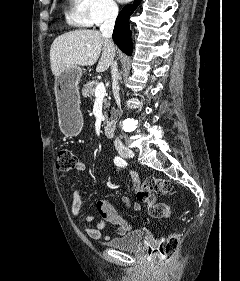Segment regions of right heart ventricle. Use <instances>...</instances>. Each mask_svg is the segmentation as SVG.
I'll use <instances>...</instances> for the list:
<instances>
[{
    "mask_svg": "<svg viewBox=\"0 0 240 281\" xmlns=\"http://www.w3.org/2000/svg\"><path fill=\"white\" fill-rule=\"evenodd\" d=\"M88 8V0H68L64 13L67 24L77 28L90 27L92 21Z\"/></svg>",
    "mask_w": 240,
    "mask_h": 281,
    "instance_id": "obj_1",
    "label": "right heart ventricle"
}]
</instances>
